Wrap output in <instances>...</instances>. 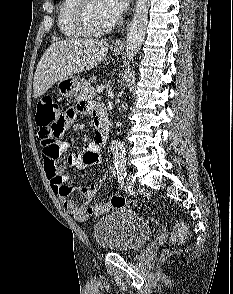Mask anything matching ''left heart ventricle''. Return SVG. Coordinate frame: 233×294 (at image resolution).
<instances>
[{
    "instance_id": "left-heart-ventricle-1",
    "label": "left heart ventricle",
    "mask_w": 233,
    "mask_h": 294,
    "mask_svg": "<svg viewBox=\"0 0 233 294\" xmlns=\"http://www.w3.org/2000/svg\"><path fill=\"white\" fill-rule=\"evenodd\" d=\"M90 17L96 27H104L115 21L106 9L104 0H91Z\"/></svg>"
}]
</instances>
